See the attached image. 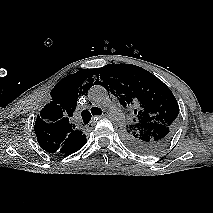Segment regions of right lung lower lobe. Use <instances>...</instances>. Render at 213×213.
<instances>
[{
    "label": "right lung lower lobe",
    "instance_id": "obj_1",
    "mask_svg": "<svg viewBox=\"0 0 213 213\" xmlns=\"http://www.w3.org/2000/svg\"><path fill=\"white\" fill-rule=\"evenodd\" d=\"M86 142H87V141H86V137H85V139L82 140L77 146H75L73 149L67 151V152L65 153V155H70V154H72V153L78 151L79 149H81V148L86 144Z\"/></svg>",
    "mask_w": 213,
    "mask_h": 213
}]
</instances>
